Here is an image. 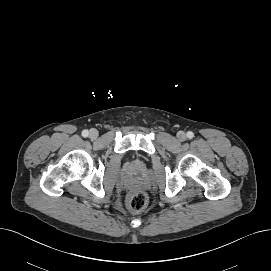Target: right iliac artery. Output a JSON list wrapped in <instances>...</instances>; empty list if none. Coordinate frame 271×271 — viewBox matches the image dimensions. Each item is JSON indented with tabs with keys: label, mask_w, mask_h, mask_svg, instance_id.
Masks as SVG:
<instances>
[{
	"label": "right iliac artery",
	"mask_w": 271,
	"mask_h": 271,
	"mask_svg": "<svg viewBox=\"0 0 271 271\" xmlns=\"http://www.w3.org/2000/svg\"><path fill=\"white\" fill-rule=\"evenodd\" d=\"M88 135H89L88 130H83V131H82V136H83V137H87Z\"/></svg>",
	"instance_id": "obj_1"
}]
</instances>
